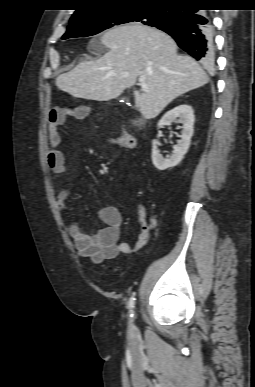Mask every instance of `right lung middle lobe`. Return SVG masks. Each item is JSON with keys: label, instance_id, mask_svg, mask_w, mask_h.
<instances>
[{"label": "right lung middle lobe", "instance_id": "1", "mask_svg": "<svg viewBox=\"0 0 255 387\" xmlns=\"http://www.w3.org/2000/svg\"><path fill=\"white\" fill-rule=\"evenodd\" d=\"M172 10V7L163 6H122L111 8L71 21L62 39L87 37L113 26L134 21L159 27L167 23Z\"/></svg>", "mask_w": 255, "mask_h": 387}]
</instances>
